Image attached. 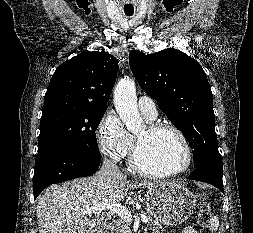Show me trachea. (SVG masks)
<instances>
[{
    "label": "trachea",
    "mask_w": 253,
    "mask_h": 233,
    "mask_svg": "<svg viewBox=\"0 0 253 233\" xmlns=\"http://www.w3.org/2000/svg\"><path fill=\"white\" fill-rule=\"evenodd\" d=\"M127 16H131V14H127Z\"/></svg>",
    "instance_id": "obj_1"
}]
</instances>
